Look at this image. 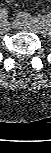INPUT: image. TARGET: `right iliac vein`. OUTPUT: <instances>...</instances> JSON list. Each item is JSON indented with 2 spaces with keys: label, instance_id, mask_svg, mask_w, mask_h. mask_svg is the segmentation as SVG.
<instances>
[{
  "label": "right iliac vein",
  "instance_id": "obj_1",
  "mask_svg": "<svg viewBox=\"0 0 51 153\" xmlns=\"http://www.w3.org/2000/svg\"><path fill=\"white\" fill-rule=\"evenodd\" d=\"M0 29L3 31V32H9L11 30V26L10 24L7 22V21H4L0 24Z\"/></svg>",
  "mask_w": 51,
  "mask_h": 153
}]
</instances>
